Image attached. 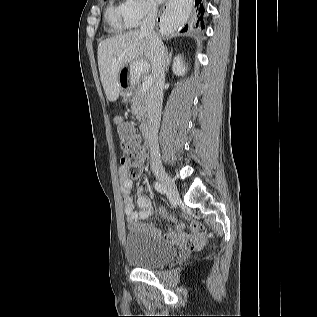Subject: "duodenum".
<instances>
[{
  "mask_svg": "<svg viewBox=\"0 0 317 317\" xmlns=\"http://www.w3.org/2000/svg\"><path fill=\"white\" fill-rule=\"evenodd\" d=\"M142 135L146 142H150L152 139V129L148 123H144L142 127Z\"/></svg>",
  "mask_w": 317,
  "mask_h": 317,
  "instance_id": "410a0bca",
  "label": "duodenum"
}]
</instances>
